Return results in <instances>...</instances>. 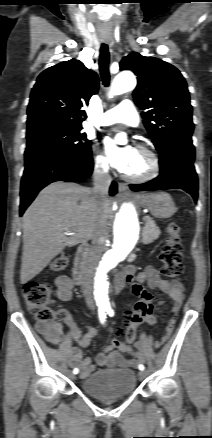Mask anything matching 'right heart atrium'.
Wrapping results in <instances>:
<instances>
[{
    "instance_id": "d8ad5b80",
    "label": "right heart atrium",
    "mask_w": 212,
    "mask_h": 438,
    "mask_svg": "<svg viewBox=\"0 0 212 438\" xmlns=\"http://www.w3.org/2000/svg\"><path fill=\"white\" fill-rule=\"evenodd\" d=\"M95 170L101 174H105L109 170V162L105 155L98 153L94 160Z\"/></svg>"
}]
</instances>
